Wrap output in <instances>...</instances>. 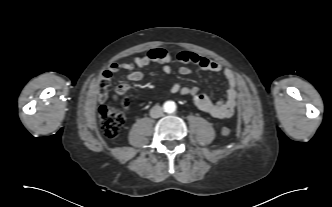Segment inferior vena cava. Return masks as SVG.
Here are the masks:
<instances>
[{"instance_id": "obj_1", "label": "inferior vena cava", "mask_w": 332, "mask_h": 207, "mask_svg": "<svg viewBox=\"0 0 332 207\" xmlns=\"http://www.w3.org/2000/svg\"><path fill=\"white\" fill-rule=\"evenodd\" d=\"M150 116L152 118H159L163 116V108L158 105L152 107L150 110Z\"/></svg>"}]
</instances>
